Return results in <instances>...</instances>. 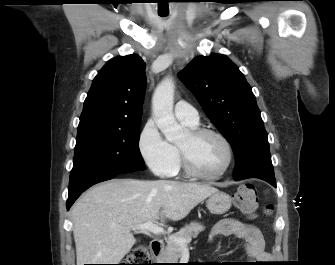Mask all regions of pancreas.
Segmentation results:
<instances>
[{
	"label": "pancreas",
	"mask_w": 335,
	"mask_h": 265,
	"mask_svg": "<svg viewBox=\"0 0 335 265\" xmlns=\"http://www.w3.org/2000/svg\"><path fill=\"white\" fill-rule=\"evenodd\" d=\"M204 229L205 227L198 222H191L181 228L170 238L166 239L167 245L164 251L160 254L159 260L164 263H177L181 257V246L174 242V238H182L190 242L192 237L196 238Z\"/></svg>",
	"instance_id": "obj_1"
}]
</instances>
